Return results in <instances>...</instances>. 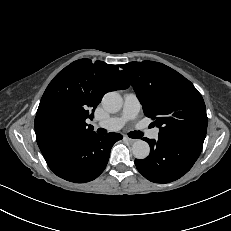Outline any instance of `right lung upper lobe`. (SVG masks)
<instances>
[{
    "label": "right lung upper lobe",
    "instance_id": "1",
    "mask_svg": "<svg viewBox=\"0 0 231 231\" xmlns=\"http://www.w3.org/2000/svg\"><path fill=\"white\" fill-rule=\"evenodd\" d=\"M118 65L90 59L74 61L61 70L46 88L35 117V133L42 151L95 133L86 119L109 91L128 88Z\"/></svg>",
    "mask_w": 231,
    "mask_h": 231
}]
</instances>
